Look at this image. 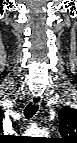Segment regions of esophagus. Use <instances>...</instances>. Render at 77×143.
Instances as JSON below:
<instances>
[{
	"label": "esophagus",
	"instance_id": "34e87169",
	"mask_svg": "<svg viewBox=\"0 0 77 143\" xmlns=\"http://www.w3.org/2000/svg\"><path fill=\"white\" fill-rule=\"evenodd\" d=\"M31 103H32L33 105H40V104H41V98L38 97V96H33V97L31 98Z\"/></svg>",
	"mask_w": 77,
	"mask_h": 143
}]
</instances>
